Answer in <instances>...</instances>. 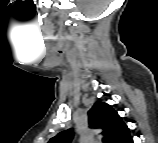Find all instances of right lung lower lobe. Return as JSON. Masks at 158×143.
I'll return each instance as SVG.
<instances>
[{"instance_id": "1", "label": "right lung lower lobe", "mask_w": 158, "mask_h": 143, "mask_svg": "<svg viewBox=\"0 0 158 143\" xmlns=\"http://www.w3.org/2000/svg\"><path fill=\"white\" fill-rule=\"evenodd\" d=\"M126 143H133L132 138H130L129 141H127Z\"/></svg>"}]
</instances>
